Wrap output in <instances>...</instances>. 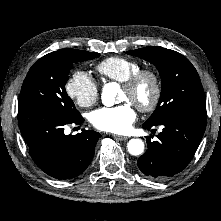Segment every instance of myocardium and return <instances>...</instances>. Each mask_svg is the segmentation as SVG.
Wrapping results in <instances>:
<instances>
[{"mask_svg": "<svg viewBox=\"0 0 221 221\" xmlns=\"http://www.w3.org/2000/svg\"><path fill=\"white\" fill-rule=\"evenodd\" d=\"M148 79L152 85V96L147 103L135 104L137 109L143 113H149L156 109L158 106L161 94L162 85L159 75L151 69H141L132 76H130L126 81L122 82V88L128 92H134L140 83Z\"/></svg>", "mask_w": 221, "mask_h": 221, "instance_id": "obj_1", "label": "myocardium"}]
</instances>
